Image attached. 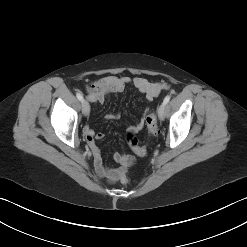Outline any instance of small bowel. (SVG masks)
<instances>
[{"label":"small bowel","instance_id":"1","mask_svg":"<svg viewBox=\"0 0 247 247\" xmlns=\"http://www.w3.org/2000/svg\"><path fill=\"white\" fill-rule=\"evenodd\" d=\"M129 84L133 85L139 92L144 94L148 100L154 99L163 89L167 88V85L164 83H152L142 77L130 78L128 76L108 75L92 82L86 87L87 98L92 103H103L109 94L121 93ZM146 113L147 110H145L141 121L138 124L131 126L129 131L136 132L143 128ZM117 118H119L118 114L107 115V119ZM83 133L86 136L91 149L96 172L109 182H116L120 176V172L125 170L127 166L134 163L135 159L133 156L116 152L113 155V159L120 163L122 167L119 169H111L106 167L103 163L101 150L95 142L96 140L103 139L104 134L102 132H95L88 125L84 126Z\"/></svg>","mask_w":247,"mask_h":247}]
</instances>
